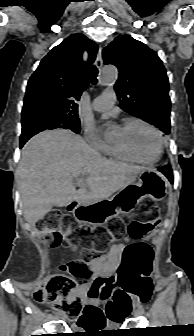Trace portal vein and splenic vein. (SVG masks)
<instances>
[{
  "mask_svg": "<svg viewBox=\"0 0 194 336\" xmlns=\"http://www.w3.org/2000/svg\"><path fill=\"white\" fill-rule=\"evenodd\" d=\"M78 183H81V180H78Z\"/></svg>",
  "mask_w": 194,
  "mask_h": 336,
  "instance_id": "1",
  "label": "portal vein and splenic vein"
}]
</instances>
